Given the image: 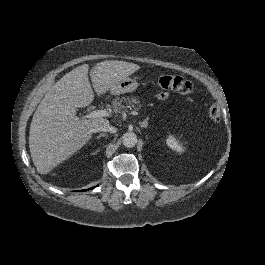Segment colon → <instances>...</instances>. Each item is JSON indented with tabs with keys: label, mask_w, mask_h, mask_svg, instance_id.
Instances as JSON below:
<instances>
[{
	"label": "colon",
	"mask_w": 265,
	"mask_h": 265,
	"mask_svg": "<svg viewBox=\"0 0 265 265\" xmlns=\"http://www.w3.org/2000/svg\"><path fill=\"white\" fill-rule=\"evenodd\" d=\"M158 84L166 90L177 91L183 95L190 96L193 93L192 83L183 77L174 75H163L158 79ZM208 117L212 122H219L221 118V109L217 104L210 106Z\"/></svg>",
	"instance_id": "1"
}]
</instances>
